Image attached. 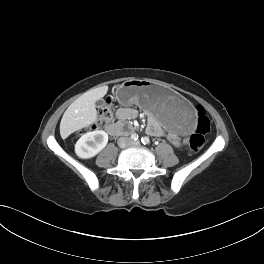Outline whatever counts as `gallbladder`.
<instances>
[{
  "label": "gallbladder",
  "mask_w": 264,
  "mask_h": 264,
  "mask_svg": "<svg viewBox=\"0 0 264 264\" xmlns=\"http://www.w3.org/2000/svg\"><path fill=\"white\" fill-rule=\"evenodd\" d=\"M104 104V101L102 100V99H99V100H97L96 102H95V105L97 106V107H100V106H102Z\"/></svg>",
  "instance_id": "gallbladder-1"
}]
</instances>
